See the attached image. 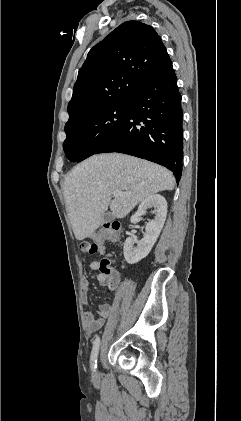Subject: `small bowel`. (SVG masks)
<instances>
[{"mask_svg": "<svg viewBox=\"0 0 241 421\" xmlns=\"http://www.w3.org/2000/svg\"><path fill=\"white\" fill-rule=\"evenodd\" d=\"M97 253H100L106 259L111 258V254L108 253L104 246H98ZM90 268L92 270H100V262L93 260L90 263ZM97 279L100 284L107 286L110 290H115L120 283V276L116 270H112V276L108 277L103 273L97 275ZM89 280L88 278H83L80 285V297L84 304L88 303V294H89ZM113 307L111 304H101L97 310H87L85 312V321L90 332H95L103 326L105 320L108 318L112 311Z\"/></svg>", "mask_w": 241, "mask_h": 421, "instance_id": "1", "label": "small bowel"}]
</instances>
